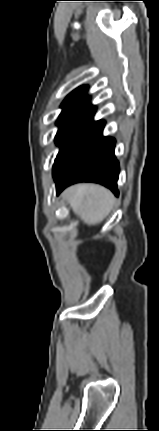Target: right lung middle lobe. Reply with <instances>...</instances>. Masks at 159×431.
Returning a JSON list of instances; mask_svg holds the SVG:
<instances>
[{
    "label": "right lung middle lobe",
    "mask_w": 159,
    "mask_h": 431,
    "mask_svg": "<svg viewBox=\"0 0 159 431\" xmlns=\"http://www.w3.org/2000/svg\"><path fill=\"white\" fill-rule=\"evenodd\" d=\"M86 124L87 123L82 120L59 118L57 121L59 130L55 137L56 144L58 146H62L68 138H70L75 132L84 127Z\"/></svg>",
    "instance_id": "obj_1"
}]
</instances>
